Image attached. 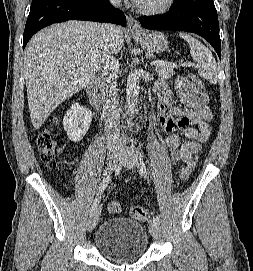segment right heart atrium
<instances>
[{
    "label": "right heart atrium",
    "instance_id": "d8ad5b80",
    "mask_svg": "<svg viewBox=\"0 0 253 271\" xmlns=\"http://www.w3.org/2000/svg\"><path fill=\"white\" fill-rule=\"evenodd\" d=\"M112 2H114V3H117L119 0H111Z\"/></svg>",
    "mask_w": 253,
    "mask_h": 271
}]
</instances>
